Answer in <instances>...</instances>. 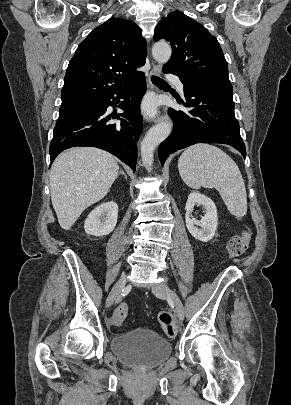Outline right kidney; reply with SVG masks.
Returning <instances> with one entry per match:
<instances>
[{
  "mask_svg": "<svg viewBox=\"0 0 291 405\" xmlns=\"http://www.w3.org/2000/svg\"><path fill=\"white\" fill-rule=\"evenodd\" d=\"M118 218V205L113 202H104L98 205L87 217L84 224L85 232L94 236H105L111 233Z\"/></svg>",
  "mask_w": 291,
  "mask_h": 405,
  "instance_id": "obj_1",
  "label": "right kidney"
}]
</instances>
